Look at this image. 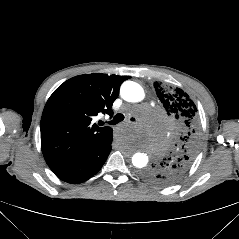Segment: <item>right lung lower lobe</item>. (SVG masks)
<instances>
[{
  "instance_id": "right-lung-lower-lobe-1",
  "label": "right lung lower lobe",
  "mask_w": 239,
  "mask_h": 239,
  "mask_svg": "<svg viewBox=\"0 0 239 239\" xmlns=\"http://www.w3.org/2000/svg\"><path fill=\"white\" fill-rule=\"evenodd\" d=\"M112 131L106 133L94 146L81 156L51 169L61 180L78 184L95 175L105 163L112 143Z\"/></svg>"
}]
</instances>
